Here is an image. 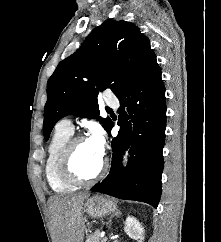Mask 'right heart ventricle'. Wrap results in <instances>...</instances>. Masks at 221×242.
Masks as SVG:
<instances>
[{
    "mask_svg": "<svg viewBox=\"0 0 221 242\" xmlns=\"http://www.w3.org/2000/svg\"><path fill=\"white\" fill-rule=\"evenodd\" d=\"M71 135V133L56 127L47 146L44 172L50 189L56 193L70 192L76 188V185L65 181L59 173L61 155Z\"/></svg>",
    "mask_w": 221,
    "mask_h": 242,
    "instance_id": "obj_1",
    "label": "right heart ventricle"
}]
</instances>
